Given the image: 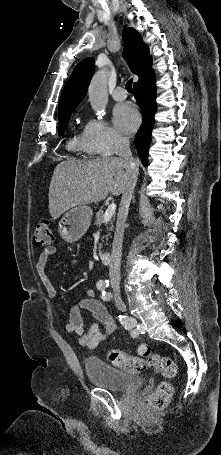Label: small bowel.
<instances>
[{
    "mask_svg": "<svg viewBox=\"0 0 221 455\" xmlns=\"http://www.w3.org/2000/svg\"><path fill=\"white\" fill-rule=\"evenodd\" d=\"M55 253L56 248L54 246L46 247L41 251L35 264V271L40 282L51 298L57 296V290L49 279L46 268L50 258ZM83 309L88 310L95 318V322L90 325L88 330L84 328V321L81 315V310ZM101 326H104V331H101ZM64 329L68 333H75L81 346L94 349L117 330V324L105 305L95 298L94 291L89 289L86 292V297L71 308Z\"/></svg>",
    "mask_w": 221,
    "mask_h": 455,
    "instance_id": "c3829d8e",
    "label": "small bowel"
}]
</instances>
